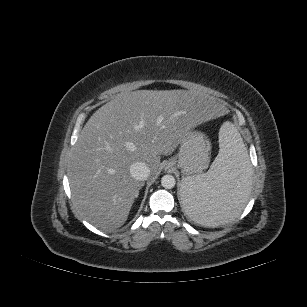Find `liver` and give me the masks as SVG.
<instances>
[{"instance_id":"obj_1","label":"liver","mask_w":307,"mask_h":307,"mask_svg":"<svg viewBox=\"0 0 307 307\" xmlns=\"http://www.w3.org/2000/svg\"><path fill=\"white\" fill-rule=\"evenodd\" d=\"M225 113L222 103L186 90L118 94L90 117L73 147L68 178L78 212L104 231L121 227L143 186L131 164L146 163L156 176L161 155H170L196 125Z\"/></svg>"}]
</instances>
